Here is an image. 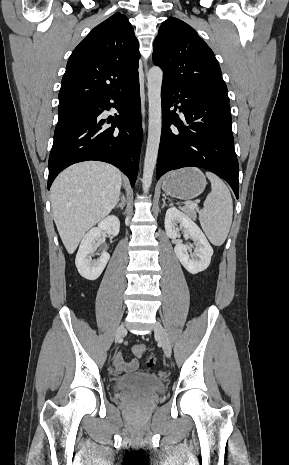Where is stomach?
Listing matches in <instances>:
<instances>
[{
    "instance_id": "stomach-1",
    "label": "stomach",
    "mask_w": 289,
    "mask_h": 465,
    "mask_svg": "<svg viewBox=\"0 0 289 465\" xmlns=\"http://www.w3.org/2000/svg\"><path fill=\"white\" fill-rule=\"evenodd\" d=\"M205 186L204 174L194 167L173 171L162 181V189L167 195L182 200H190L199 196Z\"/></svg>"
}]
</instances>
